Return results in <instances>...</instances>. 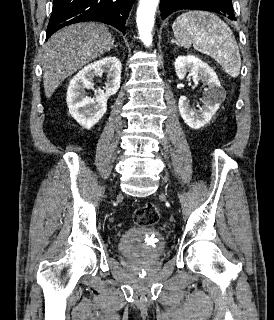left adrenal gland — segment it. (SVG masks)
Segmentation results:
<instances>
[{"instance_id":"obj_1","label":"left adrenal gland","mask_w":274,"mask_h":320,"mask_svg":"<svg viewBox=\"0 0 274 320\" xmlns=\"http://www.w3.org/2000/svg\"><path fill=\"white\" fill-rule=\"evenodd\" d=\"M171 44H176L177 48H180V44L176 40H171Z\"/></svg>"}]
</instances>
